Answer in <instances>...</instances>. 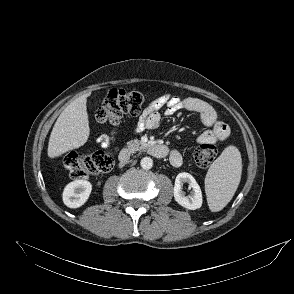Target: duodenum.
Wrapping results in <instances>:
<instances>
[{
  "mask_svg": "<svg viewBox=\"0 0 294 294\" xmlns=\"http://www.w3.org/2000/svg\"><path fill=\"white\" fill-rule=\"evenodd\" d=\"M146 151L156 158H163L168 153V147L164 144H150L146 147ZM131 155V151L128 148H124L120 151L118 159L121 164L128 162Z\"/></svg>",
  "mask_w": 294,
  "mask_h": 294,
  "instance_id": "410a0bca",
  "label": "duodenum"
}]
</instances>
